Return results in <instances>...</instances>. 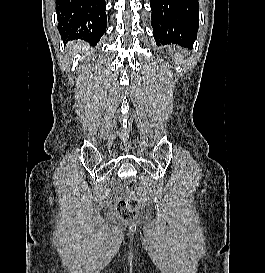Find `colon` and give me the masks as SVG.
I'll return each mask as SVG.
<instances>
[{
    "label": "colon",
    "mask_w": 265,
    "mask_h": 273,
    "mask_svg": "<svg viewBox=\"0 0 265 273\" xmlns=\"http://www.w3.org/2000/svg\"><path fill=\"white\" fill-rule=\"evenodd\" d=\"M129 194L117 203V213L123 220L134 218L146 201V192L135 181L128 183Z\"/></svg>",
    "instance_id": "obj_1"
}]
</instances>
